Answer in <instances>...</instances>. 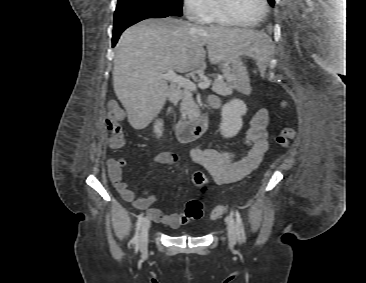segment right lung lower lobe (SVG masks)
Here are the masks:
<instances>
[{
  "label": "right lung lower lobe",
  "instance_id": "98d812e1",
  "mask_svg": "<svg viewBox=\"0 0 366 283\" xmlns=\"http://www.w3.org/2000/svg\"><path fill=\"white\" fill-rule=\"evenodd\" d=\"M173 16L160 9L143 8L138 10H121L115 12L112 44L115 46L121 33L129 26L147 18H164Z\"/></svg>",
  "mask_w": 366,
  "mask_h": 283
}]
</instances>
